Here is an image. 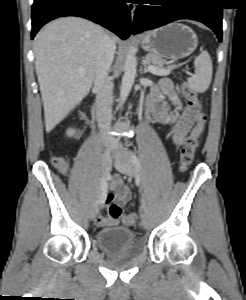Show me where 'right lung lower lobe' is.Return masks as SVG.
Returning <instances> with one entry per match:
<instances>
[{
    "label": "right lung lower lobe",
    "instance_id": "98d812e1",
    "mask_svg": "<svg viewBox=\"0 0 246 300\" xmlns=\"http://www.w3.org/2000/svg\"><path fill=\"white\" fill-rule=\"evenodd\" d=\"M31 16L32 39L44 24L62 16L94 21L122 39L130 35V10L126 0H34Z\"/></svg>",
    "mask_w": 246,
    "mask_h": 300
}]
</instances>
